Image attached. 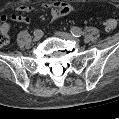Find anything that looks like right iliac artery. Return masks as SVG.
Listing matches in <instances>:
<instances>
[{"instance_id":"right-iliac-artery-1","label":"right iliac artery","mask_w":119,"mask_h":119,"mask_svg":"<svg viewBox=\"0 0 119 119\" xmlns=\"http://www.w3.org/2000/svg\"><path fill=\"white\" fill-rule=\"evenodd\" d=\"M33 34H34L35 36H38V35L40 34V31H39L38 29H35V30L33 31Z\"/></svg>"}]
</instances>
